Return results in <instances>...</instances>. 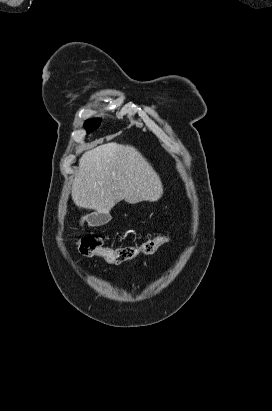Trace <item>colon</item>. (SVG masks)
Segmentation results:
<instances>
[{
    "label": "colon",
    "instance_id": "obj_1",
    "mask_svg": "<svg viewBox=\"0 0 272 411\" xmlns=\"http://www.w3.org/2000/svg\"><path fill=\"white\" fill-rule=\"evenodd\" d=\"M169 241L164 235L148 239L138 246H124L118 248L105 247L101 237L87 234L82 236L77 247L79 252L86 257L99 256L107 263L120 265L132 260L140 254H151Z\"/></svg>",
    "mask_w": 272,
    "mask_h": 411
}]
</instances>
